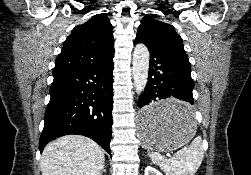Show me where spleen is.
<instances>
[{
  "instance_id": "obj_1",
  "label": "spleen",
  "mask_w": 251,
  "mask_h": 175,
  "mask_svg": "<svg viewBox=\"0 0 251 175\" xmlns=\"http://www.w3.org/2000/svg\"><path fill=\"white\" fill-rule=\"evenodd\" d=\"M180 119H182L184 125L190 127L191 131H195L196 121L193 119L191 109L184 107ZM203 153L204 149L200 135L195 137L190 145L179 149L175 153V157H171V159L162 157L160 153L149 151L153 163H158L166 175H194L204 157Z\"/></svg>"
}]
</instances>
